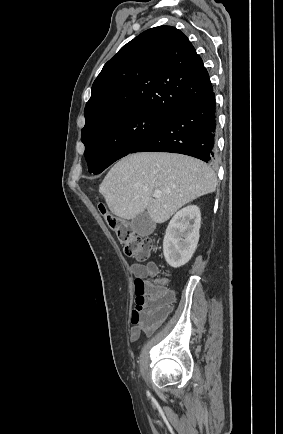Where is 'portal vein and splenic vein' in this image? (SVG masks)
<instances>
[{"mask_svg":"<svg viewBox=\"0 0 283 434\" xmlns=\"http://www.w3.org/2000/svg\"><path fill=\"white\" fill-rule=\"evenodd\" d=\"M155 198H159L161 196V191L156 190L153 195Z\"/></svg>","mask_w":283,"mask_h":434,"instance_id":"obj_1","label":"portal vein and splenic vein"}]
</instances>
